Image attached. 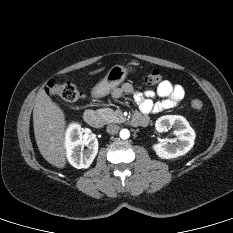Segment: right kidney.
<instances>
[{"label": "right kidney", "mask_w": 233, "mask_h": 233, "mask_svg": "<svg viewBox=\"0 0 233 233\" xmlns=\"http://www.w3.org/2000/svg\"><path fill=\"white\" fill-rule=\"evenodd\" d=\"M84 146L87 148L84 149ZM66 156L69 163L77 168H88L98 153V140L95 137L83 139L79 124L69 125L65 133Z\"/></svg>", "instance_id": "ca27d5eb"}]
</instances>
